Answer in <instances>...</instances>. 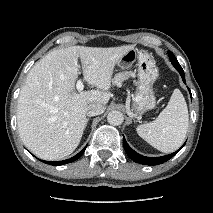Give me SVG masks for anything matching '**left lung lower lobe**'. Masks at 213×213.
Returning <instances> with one entry per match:
<instances>
[{
  "label": "left lung lower lobe",
  "instance_id": "1",
  "mask_svg": "<svg viewBox=\"0 0 213 213\" xmlns=\"http://www.w3.org/2000/svg\"><path fill=\"white\" fill-rule=\"evenodd\" d=\"M178 72L180 73L183 82L186 83L183 69H179ZM190 94H191V92H190ZM191 97H192V95H191ZM123 146H124V149H125L128 157L130 159H132L136 163H140V164H143V165H149V166H151V165H159V164H162V163L168 161L170 158H172L174 155H176L181 150V148L183 147L182 146L179 150H177L176 152H174L172 154H169V155H165V156H161V157H146V156H142V155L138 154L137 152H135L128 145V143L126 142L125 138H123Z\"/></svg>",
  "mask_w": 213,
  "mask_h": 213
}]
</instances>
